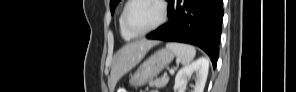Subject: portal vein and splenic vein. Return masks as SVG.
I'll return each mask as SVG.
<instances>
[{"label":"portal vein and splenic vein","instance_id":"obj_1","mask_svg":"<svg viewBox=\"0 0 296 92\" xmlns=\"http://www.w3.org/2000/svg\"><path fill=\"white\" fill-rule=\"evenodd\" d=\"M170 73L174 74V70H170ZM166 76H167V74H164V77H166Z\"/></svg>","mask_w":296,"mask_h":92}]
</instances>
